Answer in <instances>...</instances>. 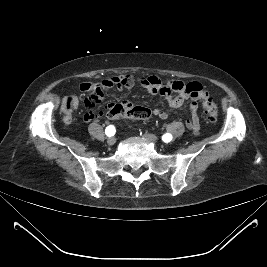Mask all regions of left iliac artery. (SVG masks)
<instances>
[{"label": "left iliac artery", "instance_id": "1", "mask_svg": "<svg viewBox=\"0 0 267 267\" xmlns=\"http://www.w3.org/2000/svg\"><path fill=\"white\" fill-rule=\"evenodd\" d=\"M162 140H163L164 142H170V141L172 140V135L169 134V133H166V134H164V135L162 136Z\"/></svg>", "mask_w": 267, "mask_h": 267}]
</instances>
